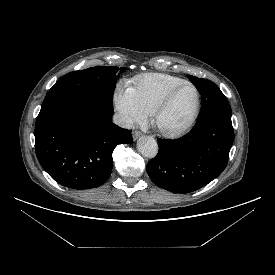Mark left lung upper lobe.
Returning a JSON list of instances; mask_svg holds the SVG:
<instances>
[{"instance_id":"obj_1","label":"left lung upper lobe","mask_w":275,"mask_h":275,"mask_svg":"<svg viewBox=\"0 0 275 275\" xmlns=\"http://www.w3.org/2000/svg\"><path fill=\"white\" fill-rule=\"evenodd\" d=\"M189 79L202 96V109L196 124L210 119L231 117V107L214 83L195 76H189Z\"/></svg>"}]
</instances>
